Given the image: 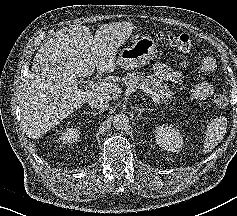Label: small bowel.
I'll list each match as a JSON object with an SVG mask.
<instances>
[{
    "label": "small bowel",
    "instance_id": "c3829d8e",
    "mask_svg": "<svg viewBox=\"0 0 237 216\" xmlns=\"http://www.w3.org/2000/svg\"><path fill=\"white\" fill-rule=\"evenodd\" d=\"M200 69L204 74L210 75L216 69V63L211 58H204L201 62ZM154 74L163 81L180 84L183 77L180 72L173 70L168 65L156 63L153 67ZM213 93V87L208 82L195 84L191 89V95L196 99H205Z\"/></svg>",
    "mask_w": 237,
    "mask_h": 216
}]
</instances>
